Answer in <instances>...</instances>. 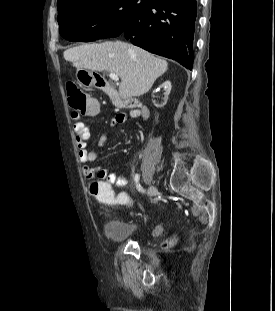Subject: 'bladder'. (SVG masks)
Returning a JSON list of instances; mask_svg holds the SVG:
<instances>
[{
  "label": "bladder",
  "mask_w": 275,
  "mask_h": 311,
  "mask_svg": "<svg viewBox=\"0 0 275 311\" xmlns=\"http://www.w3.org/2000/svg\"><path fill=\"white\" fill-rule=\"evenodd\" d=\"M138 231V226L118 218H110L105 223L106 235L115 241L126 240L133 237Z\"/></svg>",
  "instance_id": "obj_1"
}]
</instances>
